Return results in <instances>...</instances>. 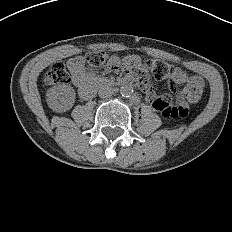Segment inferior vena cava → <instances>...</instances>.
<instances>
[{
    "instance_id": "1",
    "label": "inferior vena cava",
    "mask_w": 232,
    "mask_h": 232,
    "mask_svg": "<svg viewBox=\"0 0 232 232\" xmlns=\"http://www.w3.org/2000/svg\"><path fill=\"white\" fill-rule=\"evenodd\" d=\"M112 94L113 90L108 86H102L98 90V95L101 98H109L110 96H112Z\"/></svg>"
}]
</instances>
